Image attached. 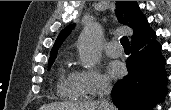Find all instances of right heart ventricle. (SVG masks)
<instances>
[{"mask_svg":"<svg viewBox=\"0 0 171 110\" xmlns=\"http://www.w3.org/2000/svg\"><path fill=\"white\" fill-rule=\"evenodd\" d=\"M58 94L68 100H80L84 98L83 89L75 75V72L62 67L57 81Z\"/></svg>","mask_w":171,"mask_h":110,"instance_id":"e07e8e85","label":"right heart ventricle"}]
</instances>
